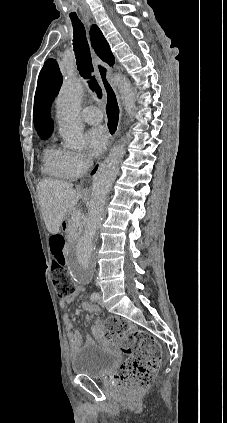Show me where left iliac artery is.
Listing matches in <instances>:
<instances>
[{"label": "left iliac artery", "instance_id": "obj_1", "mask_svg": "<svg viewBox=\"0 0 227 423\" xmlns=\"http://www.w3.org/2000/svg\"><path fill=\"white\" fill-rule=\"evenodd\" d=\"M98 299H99V294H98V293L94 292V293H92V294L90 295V300H91V301H96V300H98Z\"/></svg>", "mask_w": 227, "mask_h": 423}]
</instances>
